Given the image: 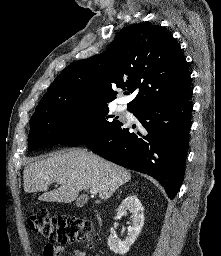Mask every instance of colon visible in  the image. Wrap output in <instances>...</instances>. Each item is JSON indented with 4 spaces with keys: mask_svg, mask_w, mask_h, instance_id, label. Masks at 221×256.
<instances>
[{
    "mask_svg": "<svg viewBox=\"0 0 221 256\" xmlns=\"http://www.w3.org/2000/svg\"><path fill=\"white\" fill-rule=\"evenodd\" d=\"M33 232L39 233L50 240L45 247L46 252L58 255L62 246L71 242L92 245L90 233L92 224L75 217H53L45 209H40L27 218Z\"/></svg>",
    "mask_w": 221,
    "mask_h": 256,
    "instance_id": "1",
    "label": "colon"
}]
</instances>
